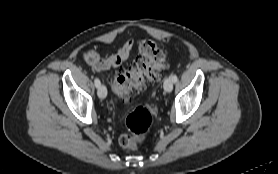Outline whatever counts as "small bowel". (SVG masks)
Returning a JSON list of instances; mask_svg holds the SVG:
<instances>
[{
  "label": "small bowel",
  "instance_id": "obj_1",
  "mask_svg": "<svg viewBox=\"0 0 278 174\" xmlns=\"http://www.w3.org/2000/svg\"><path fill=\"white\" fill-rule=\"evenodd\" d=\"M132 46L133 41L131 39H128L123 42V44L119 47L118 51L115 54L109 57L102 58L94 50L88 51L84 57L88 65H90L91 68L95 71L117 68L128 59Z\"/></svg>",
  "mask_w": 278,
  "mask_h": 174
}]
</instances>
